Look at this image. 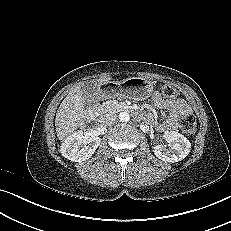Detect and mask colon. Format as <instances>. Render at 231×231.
<instances>
[{"instance_id":"obj_1","label":"colon","mask_w":231,"mask_h":231,"mask_svg":"<svg viewBox=\"0 0 231 231\" xmlns=\"http://www.w3.org/2000/svg\"><path fill=\"white\" fill-rule=\"evenodd\" d=\"M162 93L165 97L173 98L176 96L177 91L173 86L166 85L163 87ZM178 127L185 135L192 136L196 131V119L194 115L189 113L180 117Z\"/></svg>"}]
</instances>
